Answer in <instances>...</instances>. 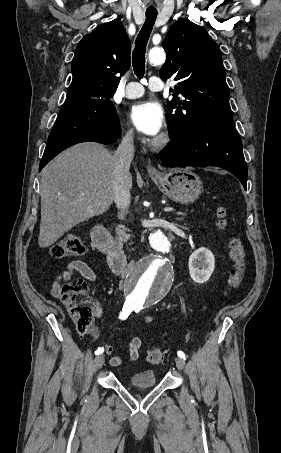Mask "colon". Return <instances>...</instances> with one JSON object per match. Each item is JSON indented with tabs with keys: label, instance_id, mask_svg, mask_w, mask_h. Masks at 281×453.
Returning <instances> with one entry per match:
<instances>
[{
	"label": "colon",
	"instance_id": "obj_1",
	"mask_svg": "<svg viewBox=\"0 0 281 453\" xmlns=\"http://www.w3.org/2000/svg\"><path fill=\"white\" fill-rule=\"evenodd\" d=\"M216 218L214 226L219 231L228 228L227 203L224 196L220 195L216 201ZM227 245L232 259L231 281L226 291L228 297L234 295L242 286L243 277L246 271V252L242 240L238 236H231ZM50 255L55 260H63L72 257H85L87 255L86 246L76 238H64L53 242L50 245ZM87 292V282L85 279L77 278L64 290V303L67 308L76 316L77 329L79 331H89L92 327L91 310L82 304L81 299ZM147 360L151 363H163L164 354L159 349H148L145 352Z\"/></svg>",
	"mask_w": 281,
	"mask_h": 453
}]
</instances>
